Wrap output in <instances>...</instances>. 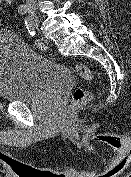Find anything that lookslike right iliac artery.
Wrapping results in <instances>:
<instances>
[{
  "instance_id": "right-iliac-artery-1",
  "label": "right iliac artery",
  "mask_w": 131,
  "mask_h": 177,
  "mask_svg": "<svg viewBox=\"0 0 131 177\" xmlns=\"http://www.w3.org/2000/svg\"><path fill=\"white\" fill-rule=\"evenodd\" d=\"M27 6L26 5H20L19 8H18V11L20 14L24 15L27 13ZM37 44V43H36ZM38 45L40 46V48L42 49H45L46 47L43 45V43H40L38 42Z\"/></svg>"
}]
</instances>
